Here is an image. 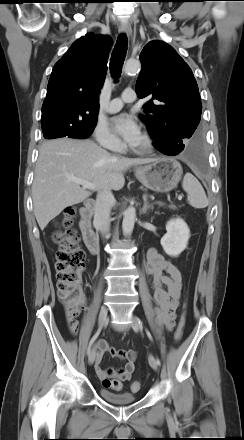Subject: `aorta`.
<instances>
[{
    "label": "aorta",
    "instance_id": "1",
    "mask_svg": "<svg viewBox=\"0 0 244 440\" xmlns=\"http://www.w3.org/2000/svg\"><path fill=\"white\" fill-rule=\"evenodd\" d=\"M140 67L141 65L139 61L129 60L124 66V72L126 74L136 73L140 69ZM135 218L136 211L134 208L130 207L125 210L122 222V231L124 236H128L132 233L134 229Z\"/></svg>",
    "mask_w": 244,
    "mask_h": 440
}]
</instances>
